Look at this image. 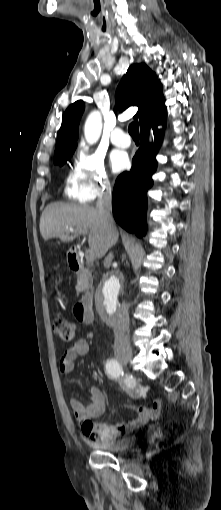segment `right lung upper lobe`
Listing matches in <instances>:
<instances>
[{"label": "right lung upper lobe", "instance_id": "right-lung-upper-lobe-1", "mask_svg": "<svg viewBox=\"0 0 221 510\" xmlns=\"http://www.w3.org/2000/svg\"><path fill=\"white\" fill-rule=\"evenodd\" d=\"M116 103L121 110L129 106H138V112L134 117L139 119L141 127L160 122L166 117L161 83L144 63L133 64L128 68L117 88ZM83 111L82 100L74 102L65 111L57 136L55 156L76 148L78 125Z\"/></svg>", "mask_w": 221, "mask_h": 510}]
</instances>
